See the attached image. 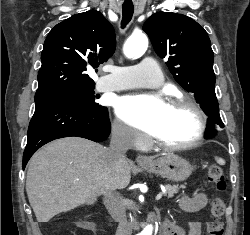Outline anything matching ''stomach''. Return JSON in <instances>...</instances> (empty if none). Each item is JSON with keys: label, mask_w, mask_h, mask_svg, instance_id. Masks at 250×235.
Here are the masks:
<instances>
[{"label": "stomach", "mask_w": 250, "mask_h": 235, "mask_svg": "<svg viewBox=\"0 0 250 235\" xmlns=\"http://www.w3.org/2000/svg\"><path fill=\"white\" fill-rule=\"evenodd\" d=\"M140 166L150 173L174 182L184 181L192 173L191 164L173 153L150 160L148 164H141Z\"/></svg>", "instance_id": "1"}]
</instances>
